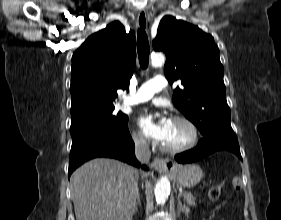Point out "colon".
Segmentation results:
<instances>
[{
	"label": "colon",
	"instance_id": "colon-1",
	"mask_svg": "<svg viewBox=\"0 0 281 220\" xmlns=\"http://www.w3.org/2000/svg\"><path fill=\"white\" fill-rule=\"evenodd\" d=\"M233 187L238 190L240 189V179L238 177L233 178L232 180ZM223 189V183H216L213 186L210 187L208 191V197L212 201H216L222 192Z\"/></svg>",
	"mask_w": 281,
	"mask_h": 220
}]
</instances>
